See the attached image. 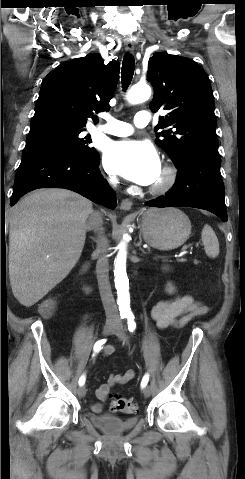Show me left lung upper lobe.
Segmentation results:
<instances>
[{"mask_svg": "<svg viewBox=\"0 0 245 479\" xmlns=\"http://www.w3.org/2000/svg\"><path fill=\"white\" fill-rule=\"evenodd\" d=\"M148 81L154 87L153 112L167 110L155 131L156 143L176 167L201 152H218L214 99L209 78L193 60L156 53L149 59Z\"/></svg>", "mask_w": 245, "mask_h": 479, "instance_id": "obj_1", "label": "left lung upper lobe"}]
</instances>
